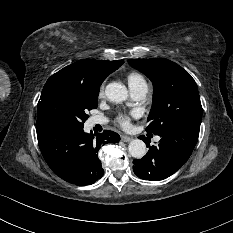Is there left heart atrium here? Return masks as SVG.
<instances>
[{
	"label": "left heart atrium",
	"mask_w": 233,
	"mask_h": 233,
	"mask_svg": "<svg viewBox=\"0 0 233 233\" xmlns=\"http://www.w3.org/2000/svg\"><path fill=\"white\" fill-rule=\"evenodd\" d=\"M138 112L132 111L130 113H120L117 118L116 122L123 128H130L131 126V118L137 117Z\"/></svg>",
	"instance_id": "obj_1"
}]
</instances>
